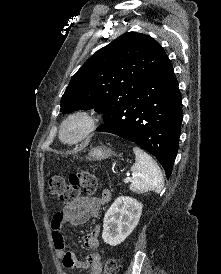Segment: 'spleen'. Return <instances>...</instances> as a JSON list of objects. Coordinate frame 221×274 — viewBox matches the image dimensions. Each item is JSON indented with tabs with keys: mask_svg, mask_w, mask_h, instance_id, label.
<instances>
[{
	"mask_svg": "<svg viewBox=\"0 0 221 274\" xmlns=\"http://www.w3.org/2000/svg\"><path fill=\"white\" fill-rule=\"evenodd\" d=\"M136 162L131 167L133 179L130 190L136 193L155 191L160 193L164 187L162 172L153 158L138 147L133 148Z\"/></svg>",
	"mask_w": 221,
	"mask_h": 274,
	"instance_id": "obj_1",
	"label": "spleen"
}]
</instances>
